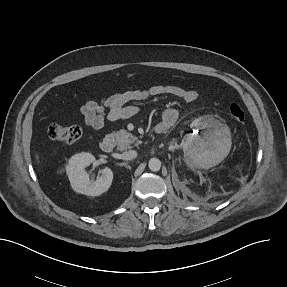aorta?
<instances>
[{"instance_id":"aorta-1","label":"aorta","mask_w":287,"mask_h":287,"mask_svg":"<svg viewBox=\"0 0 287 287\" xmlns=\"http://www.w3.org/2000/svg\"><path fill=\"white\" fill-rule=\"evenodd\" d=\"M149 169L153 172H157L161 168V161L158 158H151L148 162Z\"/></svg>"}]
</instances>
